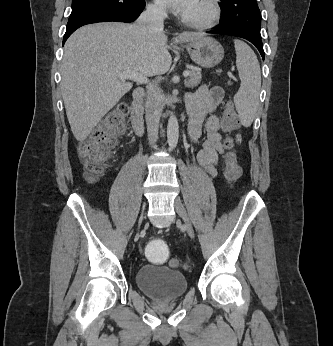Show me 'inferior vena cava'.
Returning a JSON list of instances; mask_svg holds the SVG:
<instances>
[{
	"instance_id": "602c4592",
	"label": "inferior vena cava",
	"mask_w": 333,
	"mask_h": 346,
	"mask_svg": "<svg viewBox=\"0 0 333 346\" xmlns=\"http://www.w3.org/2000/svg\"><path fill=\"white\" fill-rule=\"evenodd\" d=\"M166 12L159 5H149L137 19V25L148 33H159L164 28ZM146 123L149 143L154 145L158 139V130L162 113L161 89L157 85H151L147 89L146 101Z\"/></svg>"
}]
</instances>
